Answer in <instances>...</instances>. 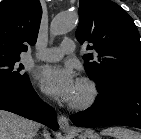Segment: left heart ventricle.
I'll use <instances>...</instances> for the list:
<instances>
[{
    "mask_svg": "<svg viewBox=\"0 0 141 139\" xmlns=\"http://www.w3.org/2000/svg\"><path fill=\"white\" fill-rule=\"evenodd\" d=\"M82 95H83V90H82V88H80L77 85L76 93H75V96H74L73 100H77V99L81 98Z\"/></svg>",
    "mask_w": 141,
    "mask_h": 139,
    "instance_id": "obj_1",
    "label": "left heart ventricle"
}]
</instances>
